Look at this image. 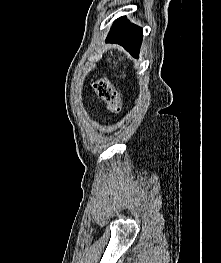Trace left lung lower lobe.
<instances>
[{
    "mask_svg": "<svg viewBox=\"0 0 221 263\" xmlns=\"http://www.w3.org/2000/svg\"><path fill=\"white\" fill-rule=\"evenodd\" d=\"M142 38L141 27L131 24L125 17H120L112 26L107 41L122 45L133 56L138 57Z\"/></svg>",
    "mask_w": 221,
    "mask_h": 263,
    "instance_id": "left-lung-lower-lobe-1",
    "label": "left lung lower lobe"
}]
</instances>
